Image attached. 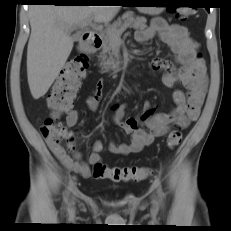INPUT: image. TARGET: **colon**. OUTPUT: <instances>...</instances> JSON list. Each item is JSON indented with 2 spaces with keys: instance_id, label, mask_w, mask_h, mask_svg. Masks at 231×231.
<instances>
[{
  "instance_id": "obj_1",
  "label": "colon",
  "mask_w": 231,
  "mask_h": 231,
  "mask_svg": "<svg viewBox=\"0 0 231 231\" xmlns=\"http://www.w3.org/2000/svg\"><path fill=\"white\" fill-rule=\"evenodd\" d=\"M176 19L184 21L189 11L184 8L176 9ZM88 68V60L85 56H76L70 59L55 80L47 97V105L52 110L50 117L46 118L41 126V133L45 139H51L57 145L62 143L72 144L73 134L65 127L56 124L55 121L62 114L68 113L79 89L80 82L85 78ZM182 140L180 130L175 128L167 137V146L176 148ZM149 170L144 167H108L97 162L93 165V177L96 179H110L114 182L141 181L148 177Z\"/></svg>"
}]
</instances>
